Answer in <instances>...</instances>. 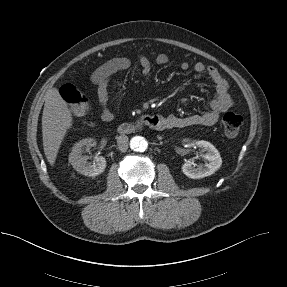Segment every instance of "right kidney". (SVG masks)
<instances>
[{
    "label": "right kidney",
    "instance_id": "1",
    "mask_svg": "<svg viewBox=\"0 0 287 287\" xmlns=\"http://www.w3.org/2000/svg\"><path fill=\"white\" fill-rule=\"evenodd\" d=\"M92 139H83L76 143L69 155V162L73 168L80 174L85 176H97L104 172L106 168V160L104 157H95V161L88 163V157L82 155V149L85 146H92Z\"/></svg>",
    "mask_w": 287,
    "mask_h": 287
}]
</instances>
